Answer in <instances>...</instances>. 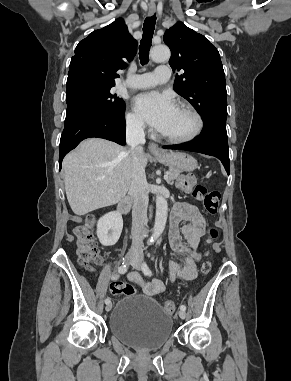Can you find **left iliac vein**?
<instances>
[{
    "label": "left iliac vein",
    "instance_id": "left-iliac-vein-1",
    "mask_svg": "<svg viewBox=\"0 0 291 381\" xmlns=\"http://www.w3.org/2000/svg\"><path fill=\"white\" fill-rule=\"evenodd\" d=\"M132 266L137 269V270H141L142 269V261H141V258L138 257L136 258V260L134 262H132ZM179 317L181 319H185L186 318V312L184 310H180L179 311Z\"/></svg>",
    "mask_w": 291,
    "mask_h": 381
}]
</instances>
